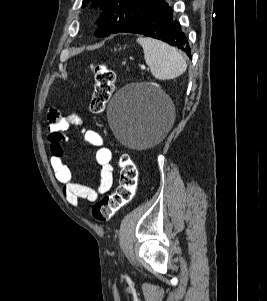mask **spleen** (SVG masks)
Returning <instances> with one entry per match:
<instances>
[{
	"mask_svg": "<svg viewBox=\"0 0 267 301\" xmlns=\"http://www.w3.org/2000/svg\"><path fill=\"white\" fill-rule=\"evenodd\" d=\"M137 42L142 46L145 62L155 78L173 79L186 71V61L174 47L151 38L139 37Z\"/></svg>",
	"mask_w": 267,
	"mask_h": 301,
	"instance_id": "3e777b00",
	"label": "spleen"
}]
</instances>
